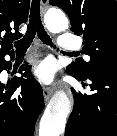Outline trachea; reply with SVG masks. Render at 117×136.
<instances>
[{
  "instance_id": "1",
  "label": "trachea",
  "mask_w": 117,
  "mask_h": 136,
  "mask_svg": "<svg viewBox=\"0 0 117 136\" xmlns=\"http://www.w3.org/2000/svg\"><path fill=\"white\" fill-rule=\"evenodd\" d=\"M37 33L38 38L45 44L53 46L51 39L47 32L45 31L41 17H40V0H33L31 4L30 10V19L27 27L26 34L24 37L16 42H14L16 51H25L27 50L35 35ZM56 48V46H54ZM72 55H76V53H71Z\"/></svg>"
}]
</instances>
